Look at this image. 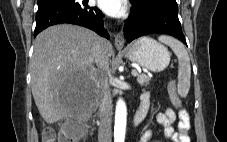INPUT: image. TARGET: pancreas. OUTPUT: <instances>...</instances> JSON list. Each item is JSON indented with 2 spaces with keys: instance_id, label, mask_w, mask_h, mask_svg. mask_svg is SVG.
<instances>
[{
  "instance_id": "cf45deb5",
  "label": "pancreas",
  "mask_w": 227,
  "mask_h": 142,
  "mask_svg": "<svg viewBox=\"0 0 227 142\" xmlns=\"http://www.w3.org/2000/svg\"><path fill=\"white\" fill-rule=\"evenodd\" d=\"M137 81L141 86H148L150 82V77L145 74H138Z\"/></svg>"
}]
</instances>
